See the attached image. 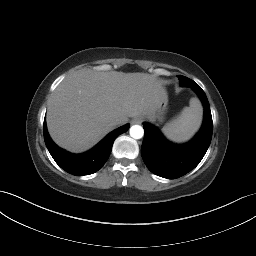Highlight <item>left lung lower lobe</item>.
Here are the masks:
<instances>
[{
  "mask_svg": "<svg viewBox=\"0 0 256 256\" xmlns=\"http://www.w3.org/2000/svg\"><path fill=\"white\" fill-rule=\"evenodd\" d=\"M186 86L197 93L204 106L201 130L189 143L173 144L153 125L144 123L143 126L142 158L152 173L168 179L179 178L195 168L204 157L212 138L213 122L206 94L191 79L186 81Z\"/></svg>",
  "mask_w": 256,
  "mask_h": 256,
  "instance_id": "left-lung-lower-lobe-1",
  "label": "left lung lower lobe"
}]
</instances>
